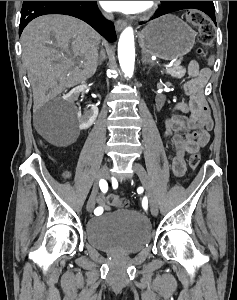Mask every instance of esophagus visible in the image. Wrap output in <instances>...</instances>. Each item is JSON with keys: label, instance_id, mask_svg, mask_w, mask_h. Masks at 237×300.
Instances as JSON below:
<instances>
[{"label": "esophagus", "instance_id": "obj_1", "mask_svg": "<svg viewBox=\"0 0 237 300\" xmlns=\"http://www.w3.org/2000/svg\"><path fill=\"white\" fill-rule=\"evenodd\" d=\"M125 25H126V22L124 20H118L115 23V29L117 31H121L125 27Z\"/></svg>", "mask_w": 237, "mask_h": 300}]
</instances>
